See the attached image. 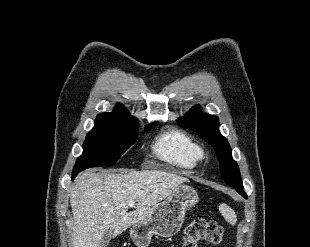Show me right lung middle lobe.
Here are the masks:
<instances>
[{
    "mask_svg": "<svg viewBox=\"0 0 310 247\" xmlns=\"http://www.w3.org/2000/svg\"><path fill=\"white\" fill-rule=\"evenodd\" d=\"M156 125L154 123L146 129ZM137 128L138 123L97 118L94 128L86 136L83 154L77 158L73 171L115 164L136 141Z\"/></svg>",
    "mask_w": 310,
    "mask_h": 247,
    "instance_id": "right-lung-middle-lobe-1",
    "label": "right lung middle lobe"
}]
</instances>
